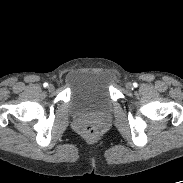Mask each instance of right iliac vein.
<instances>
[{"mask_svg":"<svg viewBox=\"0 0 183 183\" xmlns=\"http://www.w3.org/2000/svg\"><path fill=\"white\" fill-rule=\"evenodd\" d=\"M48 90L49 91H53L54 90V85L53 84H49L48 85Z\"/></svg>","mask_w":183,"mask_h":183,"instance_id":"right-iliac-vein-1","label":"right iliac vein"}]
</instances>
